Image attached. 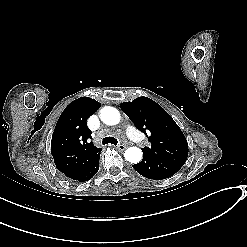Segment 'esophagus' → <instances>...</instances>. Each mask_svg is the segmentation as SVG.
Returning <instances> with one entry per match:
<instances>
[{
	"instance_id": "esophagus-1",
	"label": "esophagus",
	"mask_w": 247,
	"mask_h": 247,
	"mask_svg": "<svg viewBox=\"0 0 247 247\" xmlns=\"http://www.w3.org/2000/svg\"><path fill=\"white\" fill-rule=\"evenodd\" d=\"M117 148H118L119 150H124L126 147H125L124 145L120 144V145L117 146Z\"/></svg>"
}]
</instances>
